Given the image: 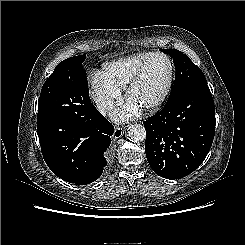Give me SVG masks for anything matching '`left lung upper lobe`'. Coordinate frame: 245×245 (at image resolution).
<instances>
[{
  "label": "left lung upper lobe",
  "mask_w": 245,
  "mask_h": 245,
  "mask_svg": "<svg viewBox=\"0 0 245 245\" xmlns=\"http://www.w3.org/2000/svg\"><path fill=\"white\" fill-rule=\"evenodd\" d=\"M173 58L176 69L175 82L167 100L170 103L184 92L201 85H207L201 69L190 58L176 49H160Z\"/></svg>",
  "instance_id": "1"
}]
</instances>
